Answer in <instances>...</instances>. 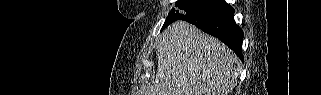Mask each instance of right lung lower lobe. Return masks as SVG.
<instances>
[{
    "label": "right lung lower lobe",
    "mask_w": 321,
    "mask_h": 95,
    "mask_svg": "<svg viewBox=\"0 0 321 95\" xmlns=\"http://www.w3.org/2000/svg\"><path fill=\"white\" fill-rule=\"evenodd\" d=\"M234 12L225 0H214L201 10L179 20L190 22L204 32L217 37L243 60V31L234 21Z\"/></svg>",
    "instance_id": "right-lung-lower-lobe-1"
}]
</instances>
